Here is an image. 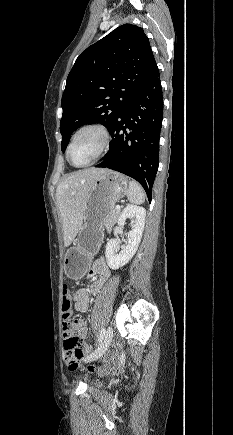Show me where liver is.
<instances>
[{
  "label": "liver",
  "instance_id": "6515ba94",
  "mask_svg": "<svg viewBox=\"0 0 233 435\" xmlns=\"http://www.w3.org/2000/svg\"><path fill=\"white\" fill-rule=\"evenodd\" d=\"M107 169L88 168L73 172L58 185L56 200L62 220L64 246L68 247L83 223V215L96 179Z\"/></svg>",
  "mask_w": 233,
  "mask_h": 435
}]
</instances>
